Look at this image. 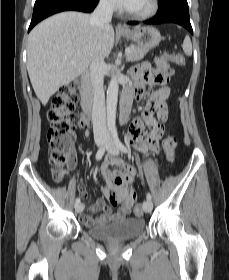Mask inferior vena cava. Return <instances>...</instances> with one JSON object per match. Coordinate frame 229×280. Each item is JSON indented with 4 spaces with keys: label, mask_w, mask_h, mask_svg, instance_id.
<instances>
[{
    "label": "inferior vena cava",
    "mask_w": 229,
    "mask_h": 280,
    "mask_svg": "<svg viewBox=\"0 0 229 280\" xmlns=\"http://www.w3.org/2000/svg\"><path fill=\"white\" fill-rule=\"evenodd\" d=\"M113 9L112 0H100L90 17L91 24L102 29L110 23ZM104 69L105 61L102 56H97L90 64V79L93 86L92 122L93 132L96 136H106L108 134L103 87Z\"/></svg>",
    "instance_id": "obj_1"
}]
</instances>
